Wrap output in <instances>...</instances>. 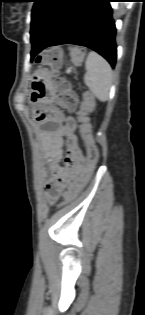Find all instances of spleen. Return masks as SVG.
Returning <instances> with one entry per match:
<instances>
[{
  "mask_svg": "<svg viewBox=\"0 0 145 315\" xmlns=\"http://www.w3.org/2000/svg\"><path fill=\"white\" fill-rule=\"evenodd\" d=\"M85 68V84L100 101H107L112 84V69L109 63L98 53L91 51L86 58Z\"/></svg>",
  "mask_w": 145,
  "mask_h": 315,
  "instance_id": "1",
  "label": "spleen"
}]
</instances>
